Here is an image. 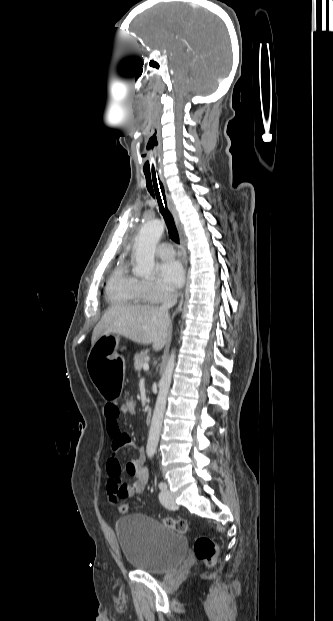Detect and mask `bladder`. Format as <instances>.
Returning a JSON list of instances; mask_svg holds the SVG:
<instances>
[{
    "label": "bladder",
    "mask_w": 333,
    "mask_h": 621,
    "mask_svg": "<svg viewBox=\"0 0 333 621\" xmlns=\"http://www.w3.org/2000/svg\"><path fill=\"white\" fill-rule=\"evenodd\" d=\"M115 530L121 552L133 570L167 573L187 554L188 541L183 534L147 515L121 517L116 521Z\"/></svg>",
    "instance_id": "obj_1"
}]
</instances>
